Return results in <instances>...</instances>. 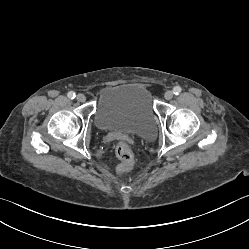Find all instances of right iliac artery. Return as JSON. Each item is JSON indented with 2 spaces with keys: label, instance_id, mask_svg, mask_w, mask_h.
Listing matches in <instances>:
<instances>
[{
  "label": "right iliac artery",
  "instance_id": "obj_1",
  "mask_svg": "<svg viewBox=\"0 0 249 249\" xmlns=\"http://www.w3.org/2000/svg\"><path fill=\"white\" fill-rule=\"evenodd\" d=\"M67 96L70 98V99H74L76 97L75 93L70 91Z\"/></svg>",
  "mask_w": 249,
  "mask_h": 249
}]
</instances>
